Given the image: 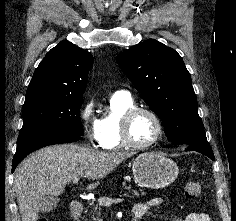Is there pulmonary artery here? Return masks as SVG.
Wrapping results in <instances>:
<instances>
[{"instance_id":"1","label":"pulmonary artery","mask_w":236,"mask_h":221,"mask_svg":"<svg viewBox=\"0 0 236 221\" xmlns=\"http://www.w3.org/2000/svg\"><path fill=\"white\" fill-rule=\"evenodd\" d=\"M115 94H116V95H124V96L130 95L127 90H117V91L115 92Z\"/></svg>"}]
</instances>
